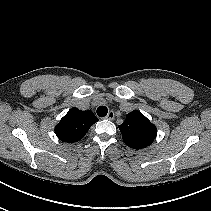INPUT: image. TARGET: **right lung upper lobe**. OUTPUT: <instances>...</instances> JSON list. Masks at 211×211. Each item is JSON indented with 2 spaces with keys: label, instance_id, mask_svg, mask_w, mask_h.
<instances>
[{
  "label": "right lung upper lobe",
  "instance_id": "cb5924a9",
  "mask_svg": "<svg viewBox=\"0 0 211 211\" xmlns=\"http://www.w3.org/2000/svg\"><path fill=\"white\" fill-rule=\"evenodd\" d=\"M98 121L92 111H81L72 108L55 127L57 137L66 143L79 141L92 124Z\"/></svg>",
  "mask_w": 211,
  "mask_h": 211
}]
</instances>
